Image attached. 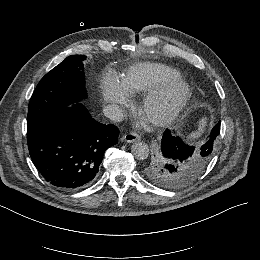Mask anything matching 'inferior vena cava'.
I'll return each instance as SVG.
<instances>
[{"label":"inferior vena cava","mask_w":260,"mask_h":260,"mask_svg":"<svg viewBox=\"0 0 260 260\" xmlns=\"http://www.w3.org/2000/svg\"><path fill=\"white\" fill-rule=\"evenodd\" d=\"M104 115L114 121H121L123 119V110L119 105H107L103 108Z\"/></svg>","instance_id":"inferior-vena-cava-1"}]
</instances>
